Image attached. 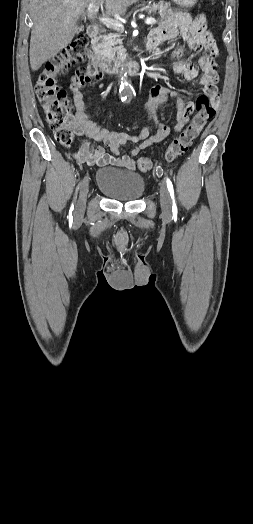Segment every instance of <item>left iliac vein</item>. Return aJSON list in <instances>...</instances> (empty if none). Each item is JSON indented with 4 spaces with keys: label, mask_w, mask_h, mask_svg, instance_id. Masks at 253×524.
<instances>
[{
    "label": "left iliac vein",
    "mask_w": 253,
    "mask_h": 524,
    "mask_svg": "<svg viewBox=\"0 0 253 524\" xmlns=\"http://www.w3.org/2000/svg\"><path fill=\"white\" fill-rule=\"evenodd\" d=\"M160 204L165 215L171 214V199L164 182L160 183Z\"/></svg>",
    "instance_id": "obj_1"
}]
</instances>
